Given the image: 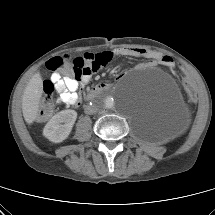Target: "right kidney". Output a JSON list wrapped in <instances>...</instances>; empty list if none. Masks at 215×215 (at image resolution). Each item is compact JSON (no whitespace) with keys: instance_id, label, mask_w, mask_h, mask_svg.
Instances as JSON below:
<instances>
[{"instance_id":"1","label":"right kidney","mask_w":215,"mask_h":215,"mask_svg":"<svg viewBox=\"0 0 215 215\" xmlns=\"http://www.w3.org/2000/svg\"><path fill=\"white\" fill-rule=\"evenodd\" d=\"M77 112L74 110H62L55 114L45 125L43 135L54 143L64 141L71 133L76 121Z\"/></svg>"}]
</instances>
